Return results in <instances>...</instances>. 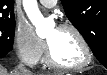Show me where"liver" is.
I'll use <instances>...</instances> for the list:
<instances>
[{
	"label": "liver",
	"mask_w": 107,
	"mask_h": 75,
	"mask_svg": "<svg viewBox=\"0 0 107 75\" xmlns=\"http://www.w3.org/2000/svg\"><path fill=\"white\" fill-rule=\"evenodd\" d=\"M0 75H9L7 70L3 67L0 68ZM11 75H16V74H11ZM33 75V74H32Z\"/></svg>",
	"instance_id": "1"
}]
</instances>
